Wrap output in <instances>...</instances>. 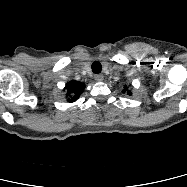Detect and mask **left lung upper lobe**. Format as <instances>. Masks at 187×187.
<instances>
[{
	"label": "left lung upper lobe",
	"instance_id": "1",
	"mask_svg": "<svg viewBox=\"0 0 187 187\" xmlns=\"http://www.w3.org/2000/svg\"><path fill=\"white\" fill-rule=\"evenodd\" d=\"M124 88H125V90H127V87H124ZM127 94L131 95V92L128 90Z\"/></svg>",
	"mask_w": 187,
	"mask_h": 187
}]
</instances>
